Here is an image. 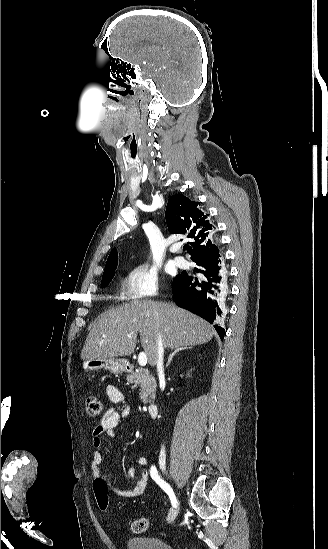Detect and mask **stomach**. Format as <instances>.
Segmentation results:
<instances>
[{
  "instance_id": "1",
  "label": "stomach",
  "mask_w": 328,
  "mask_h": 549,
  "mask_svg": "<svg viewBox=\"0 0 328 549\" xmlns=\"http://www.w3.org/2000/svg\"><path fill=\"white\" fill-rule=\"evenodd\" d=\"M83 371H99V369H105L110 371L113 375H121V373H128L131 369V365L127 359H116V357H107V359H87L82 363Z\"/></svg>"
}]
</instances>
